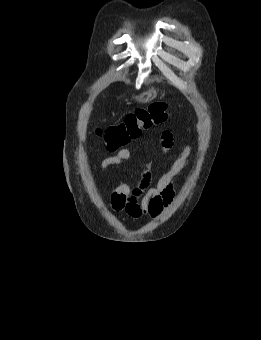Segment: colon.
<instances>
[{
	"instance_id": "obj_1",
	"label": "colon",
	"mask_w": 261,
	"mask_h": 340,
	"mask_svg": "<svg viewBox=\"0 0 261 340\" xmlns=\"http://www.w3.org/2000/svg\"><path fill=\"white\" fill-rule=\"evenodd\" d=\"M169 116L168 104L154 102L127 114L123 121L104 129L98 128L96 132L106 148L114 151L139 137L143 130L164 123Z\"/></svg>"
}]
</instances>
